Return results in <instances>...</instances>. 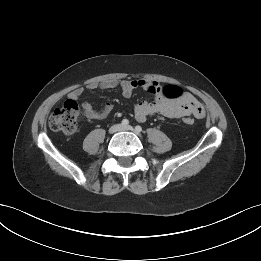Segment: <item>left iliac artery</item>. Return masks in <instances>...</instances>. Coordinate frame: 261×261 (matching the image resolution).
I'll list each match as a JSON object with an SVG mask.
<instances>
[{
    "label": "left iliac artery",
    "mask_w": 261,
    "mask_h": 261,
    "mask_svg": "<svg viewBox=\"0 0 261 261\" xmlns=\"http://www.w3.org/2000/svg\"><path fill=\"white\" fill-rule=\"evenodd\" d=\"M141 131H142L141 126L137 125V126L135 127V132H136V133H140Z\"/></svg>",
    "instance_id": "left-iliac-artery-1"
}]
</instances>
